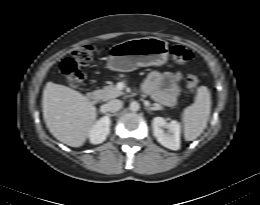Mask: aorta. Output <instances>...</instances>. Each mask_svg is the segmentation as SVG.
<instances>
[{"label":"aorta","instance_id":"aorta-1","mask_svg":"<svg viewBox=\"0 0 260 205\" xmlns=\"http://www.w3.org/2000/svg\"><path fill=\"white\" fill-rule=\"evenodd\" d=\"M140 109V104L136 101H132L130 103V110L133 111V112H136Z\"/></svg>","mask_w":260,"mask_h":205}]
</instances>
